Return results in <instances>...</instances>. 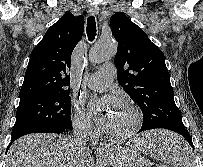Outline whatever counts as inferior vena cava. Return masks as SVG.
<instances>
[{"label":"inferior vena cava","mask_w":203,"mask_h":167,"mask_svg":"<svg viewBox=\"0 0 203 167\" xmlns=\"http://www.w3.org/2000/svg\"><path fill=\"white\" fill-rule=\"evenodd\" d=\"M93 133L88 121H78L73 125V142L78 150H88L87 143L92 140Z\"/></svg>","instance_id":"602c4592"}]
</instances>
